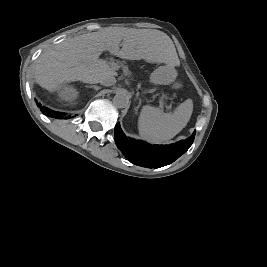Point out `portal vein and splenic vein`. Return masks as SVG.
Instances as JSON below:
<instances>
[{
	"instance_id": "obj_1",
	"label": "portal vein and splenic vein",
	"mask_w": 267,
	"mask_h": 267,
	"mask_svg": "<svg viewBox=\"0 0 267 267\" xmlns=\"http://www.w3.org/2000/svg\"><path fill=\"white\" fill-rule=\"evenodd\" d=\"M99 65H103V64L100 63ZM111 67H112L113 69H115V70L118 69V66H117V64H115V63H112V64H111Z\"/></svg>"
}]
</instances>
